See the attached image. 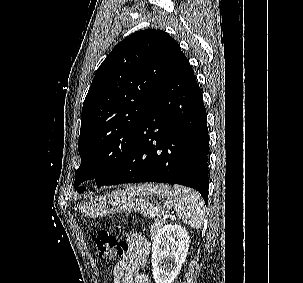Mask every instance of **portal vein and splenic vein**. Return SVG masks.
Returning <instances> with one entry per match:
<instances>
[{"label": "portal vein and splenic vein", "instance_id": "portal-vein-and-splenic-vein-1", "mask_svg": "<svg viewBox=\"0 0 303 283\" xmlns=\"http://www.w3.org/2000/svg\"><path fill=\"white\" fill-rule=\"evenodd\" d=\"M166 220H167V218H166V217H164L162 220L157 221V222H158V223H161V224H164V223L166 222Z\"/></svg>", "mask_w": 303, "mask_h": 283}]
</instances>
